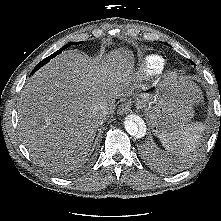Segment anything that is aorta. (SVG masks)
I'll return each mask as SVG.
<instances>
[{
  "instance_id": "762f6f07",
  "label": "aorta",
  "mask_w": 221,
  "mask_h": 221,
  "mask_svg": "<svg viewBox=\"0 0 221 221\" xmlns=\"http://www.w3.org/2000/svg\"><path fill=\"white\" fill-rule=\"evenodd\" d=\"M124 128L127 133L134 137H142L146 133V126L142 120L137 118V120H125Z\"/></svg>"
}]
</instances>
